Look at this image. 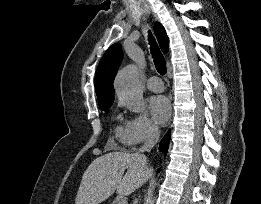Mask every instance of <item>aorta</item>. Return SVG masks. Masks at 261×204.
Returning <instances> with one entry per match:
<instances>
[{
    "label": "aorta",
    "instance_id": "1",
    "mask_svg": "<svg viewBox=\"0 0 261 204\" xmlns=\"http://www.w3.org/2000/svg\"><path fill=\"white\" fill-rule=\"evenodd\" d=\"M116 94L123 100L129 110L141 112L144 110V98L138 78V68L136 65L124 67L115 79Z\"/></svg>",
    "mask_w": 261,
    "mask_h": 204
}]
</instances>
